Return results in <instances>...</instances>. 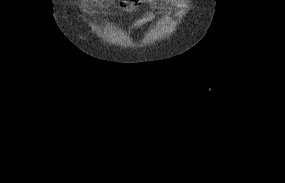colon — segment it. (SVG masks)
I'll use <instances>...</instances> for the list:
<instances>
[{
	"instance_id": "1",
	"label": "colon",
	"mask_w": 285,
	"mask_h": 183,
	"mask_svg": "<svg viewBox=\"0 0 285 183\" xmlns=\"http://www.w3.org/2000/svg\"><path fill=\"white\" fill-rule=\"evenodd\" d=\"M123 2H136L138 0H122Z\"/></svg>"
}]
</instances>
